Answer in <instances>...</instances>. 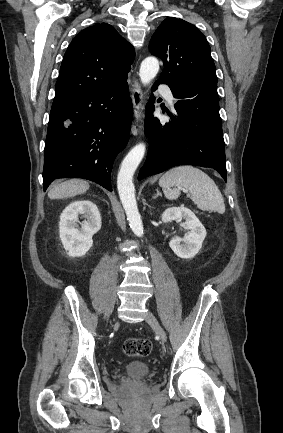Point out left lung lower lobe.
Here are the masks:
<instances>
[{
  "label": "left lung lower lobe",
  "mask_w": 283,
  "mask_h": 433,
  "mask_svg": "<svg viewBox=\"0 0 283 433\" xmlns=\"http://www.w3.org/2000/svg\"><path fill=\"white\" fill-rule=\"evenodd\" d=\"M155 82L152 91L161 84ZM154 109V96L147 103L145 130L150 148L138 180L178 165H197L217 170L226 181L225 143L221 124L208 118L176 110L168 114L169 122H160L149 110Z\"/></svg>",
  "instance_id": "0a47b994"
}]
</instances>
